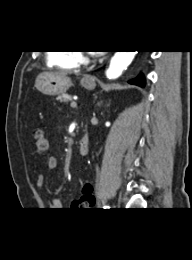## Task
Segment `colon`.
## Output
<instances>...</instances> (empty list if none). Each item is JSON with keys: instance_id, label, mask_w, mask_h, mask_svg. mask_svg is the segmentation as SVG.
I'll use <instances>...</instances> for the list:
<instances>
[{"instance_id": "obj_1", "label": "colon", "mask_w": 192, "mask_h": 260, "mask_svg": "<svg viewBox=\"0 0 192 260\" xmlns=\"http://www.w3.org/2000/svg\"><path fill=\"white\" fill-rule=\"evenodd\" d=\"M33 139H34L35 150L38 154H44L48 151L50 143L44 130H42L41 128L34 129ZM85 197H94L92 194V187L89 183H86L82 187L81 195L79 198H85Z\"/></svg>"}]
</instances>
